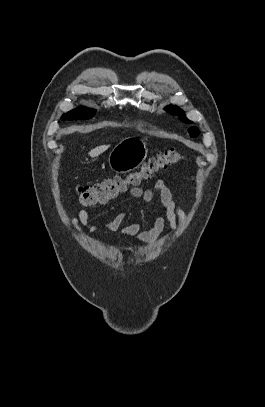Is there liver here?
<instances>
[{"label": "liver", "mask_w": 265, "mask_h": 407, "mask_svg": "<svg viewBox=\"0 0 265 407\" xmlns=\"http://www.w3.org/2000/svg\"><path fill=\"white\" fill-rule=\"evenodd\" d=\"M108 148H109V145H101V146H98V147L92 149V150L89 152V155H90L91 157H96V156L102 154L103 152H105Z\"/></svg>", "instance_id": "liver-1"}]
</instances>
